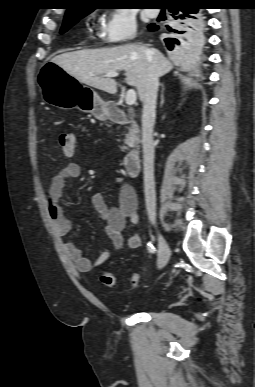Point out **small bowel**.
<instances>
[{
  "instance_id": "1",
  "label": "small bowel",
  "mask_w": 255,
  "mask_h": 387,
  "mask_svg": "<svg viewBox=\"0 0 255 387\" xmlns=\"http://www.w3.org/2000/svg\"><path fill=\"white\" fill-rule=\"evenodd\" d=\"M80 174V165L71 162L63 166L52 177L48 189V212L53 222L54 230L59 237L66 236L71 230V222L65 216L60 200L67 182L79 178ZM91 203L103 221L106 236L113 242L116 248L127 247L129 249H137L140 247L141 238L139 235L132 234L127 239L123 236L126 223L129 222L135 225L139 220L136 194L130 186H121L119 201L116 206H108L105 198L100 193L91 195ZM63 247L80 272H90L104 264L111 257V252L104 250L92 262L83 256L82 251L72 242H65Z\"/></svg>"
}]
</instances>
